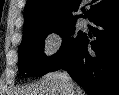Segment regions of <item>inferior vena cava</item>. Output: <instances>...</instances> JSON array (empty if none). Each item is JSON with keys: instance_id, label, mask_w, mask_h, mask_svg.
<instances>
[{"instance_id": "602c4592", "label": "inferior vena cava", "mask_w": 119, "mask_h": 95, "mask_svg": "<svg viewBox=\"0 0 119 95\" xmlns=\"http://www.w3.org/2000/svg\"><path fill=\"white\" fill-rule=\"evenodd\" d=\"M63 76H64V79H65L66 83H67L70 87H72V80H71L70 76L68 75V73H67V72H64V73H63Z\"/></svg>"}]
</instances>
